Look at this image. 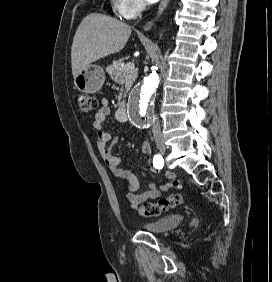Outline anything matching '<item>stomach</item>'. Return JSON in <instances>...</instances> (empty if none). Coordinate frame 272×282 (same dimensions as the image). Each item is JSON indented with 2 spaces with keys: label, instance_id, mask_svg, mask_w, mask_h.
<instances>
[{
  "label": "stomach",
  "instance_id": "stomach-1",
  "mask_svg": "<svg viewBox=\"0 0 272 282\" xmlns=\"http://www.w3.org/2000/svg\"><path fill=\"white\" fill-rule=\"evenodd\" d=\"M104 81V69L99 65L90 64L75 77L74 85L81 92L93 94L101 89Z\"/></svg>",
  "mask_w": 272,
  "mask_h": 282
}]
</instances>
